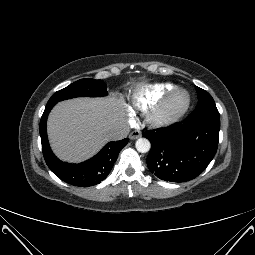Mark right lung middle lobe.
<instances>
[{
    "instance_id": "dd1d6c3e",
    "label": "right lung middle lobe",
    "mask_w": 255,
    "mask_h": 255,
    "mask_svg": "<svg viewBox=\"0 0 255 255\" xmlns=\"http://www.w3.org/2000/svg\"><path fill=\"white\" fill-rule=\"evenodd\" d=\"M106 84L102 80L81 79L52 95L47 104H56L59 101L81 96H106Z\"/></svg>"
}]
</instances>
